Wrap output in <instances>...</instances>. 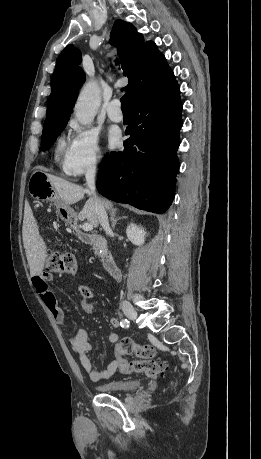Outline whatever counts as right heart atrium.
<instances>
[{
	"label": "right heart atrium",
	"mask_w": 261,
	"mask_h": 459,
	"mask_svg": "<svg viewBox=\"0 0 261 459\" xmlns=\"http://www.w3.org/2000/svg\"><path fill=\"white\" fill-rule=\"evenodd\" d=\"M72 139L70 152L65 163V172L72 176H80L93 171L102 159V150L98 135L90 128L70 124Z\"/></svg>",
	"instance_id": "right-heart-atrium-1"
}]
</instances>
